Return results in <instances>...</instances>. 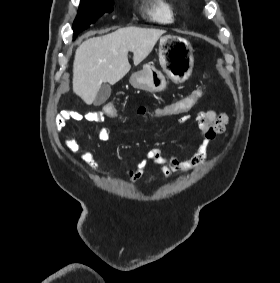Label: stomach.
I'll return each mask as SVG.
<instances>
[{"instance_id": "0dacf381", "label": "stomach", "mask_w": 280, "mask_h": 283, "mask_svg": "<svg viewBox=\"0 0 280 283\" xmlns=\"http://www.w3.org/2000/svg\"><path fill=\"white\" fill-rule=\"evenodd\" d=\"M159 62L162 70L153 64H145L140 71L133 73L130 83L145 91L159 92L167 86V79L174 83L186 81L192 74L193 49L188 40L177 35L160 38Z\"/></svg>"}]
</instances>
